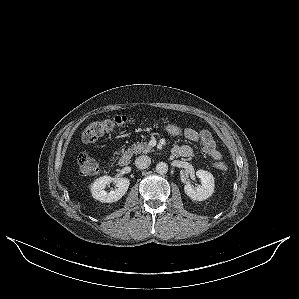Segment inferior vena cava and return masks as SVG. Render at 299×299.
<instances>
[{
	"instance_id": "obj_1",
	"label": "inferior vena cava",
	"mask_w": 299,
	"mask_h": 299,
	"mask_svg": "<svg viewBox=\"0 0 299 299\" xmlns=\"http://www.w3.org/2000/svg\"><path fill=\"white\" fill-rule=\"evenodd\" d=\"M151 163L150 157L142 155L136 158L135 165L138 169H146Z\"/></svg>"
}]
</instances>
